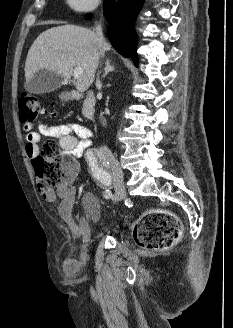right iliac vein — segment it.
<instances>
[{"mask_svg":"<svg viewBox=\"0 0 233 328\" xmlns=\"http://www.w3.org/2000/svg\"><path fill=\"white\" fill-rule=\"evenodd\" d=\"M101 152L112 169L113 184L115 187V195L112 197V201L115 203L124 199L126 196L125 186L123 183V172L117 158L110 149L104 147L101 149Z\"/></svg>","mask_w":233,"mask_h":328,"instance_id":"obj_1","label":"right iliac vein"}]
</instances>
